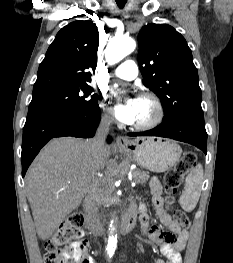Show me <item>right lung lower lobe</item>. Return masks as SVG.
<instances>
[{
    "label": "right lung lower lobe",
    "mask_w": 233,
    "mask_h": 263,
    "mask_svg": "<svg viewBox=\"0 0 233 263\" xmlns=\"http://www.w3.org/2000/svg\"><path fill=\"white\" fill-rule=\"evenodd\" d=\"M98 104L84 112L57 115L25 123L22 141V177L40 149L53 137H93L100 122ZM108 138V142H111Z\"/></svg>",
    "instance_id": "right-lung-lower-lobe-1"
}]
</instances>
